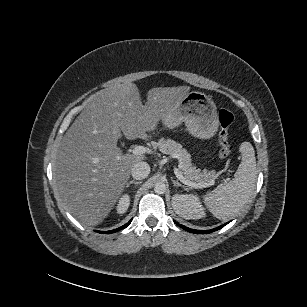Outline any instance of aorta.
I'll return each instance as SVG.
<instances>
[{
  "label": "aorta",
  "instance_id": "obj_1",
  "mask_svg": "<svg viewBox=\"0 0 307 307\" xmlns=\"http://www.w3.org/2000/svg\"><path fill=\"white\" fill-rule=\"evenodd\" d=\"M154 191L158 194H163L165 193L166 191V185L164 182H157L155 185H154Z\"/></svg>",
  "mask_w": 307,
  "mask_h": 307
}]
</instances>
